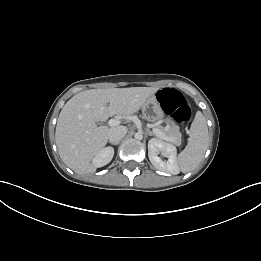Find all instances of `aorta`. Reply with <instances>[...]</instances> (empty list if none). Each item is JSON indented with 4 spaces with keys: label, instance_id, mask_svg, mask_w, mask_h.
I'll return each mask as SVG.
<instances>
[{
    "label": "aorta",
    "instance_id": "aorta-1",
    "mask_svg": "<svg viewBox=\"0 0 261 261\" xmlns=\"http://www.w3.org/2000/svg\"><path fill=\"white\" fill-rule=\"evenodd\" d=\"M134 137H135L136 140H142L143 139V135L140 132L135 133Z\"/></svg>",
    "mask_w": 261,
    "mask_h": 261
}]
</instances>
